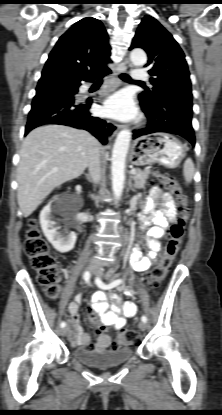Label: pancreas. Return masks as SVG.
<instances>
[{
	"label": "pancreas",
	"instance_id": "1",
	"mask_svg": "<svg viewBox=\"0 0 222 415\" xmlns=\"http://www.w3.org/2000/svg\"><path fill=\"white\" fill-rule=\"evenodd\" d=\"M135 170L137 173L133 175V180L135 182L134 186L137 189L144 188L150 171L149 170L142 171L140 169H135Z\"/></svg>",
	"mask_w": 222,
	"mask_h": 415
}]
</instances>
